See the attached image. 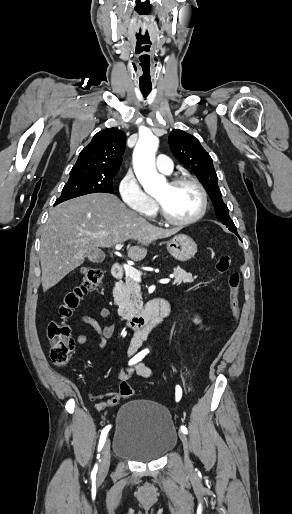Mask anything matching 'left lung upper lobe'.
Segmentation results:
<instances>
[{"label":"left lung upper lobe","mask_w":292,"mask_h":514,"mask_svg":"<svg viewBox=\"0 0 292 514\" xmlns=\"http://www.w3.org/2000/svg\"><path fill=\"white\" fill-rule=\"evenodd\" d=\"M173 155L197 176L203 184L213 203L218 220L229 230L237 233L236 226L229 216L227 205L222 200V194L217 183V174L210 155L194 136L182 130H173L168 138Z\"/></svg>","instance_id":"5c2ea615"}]
</instances>
